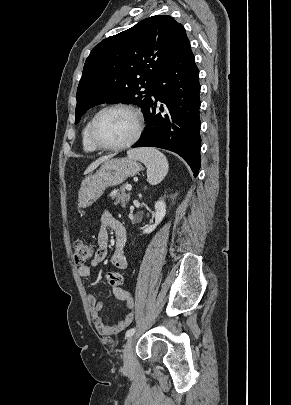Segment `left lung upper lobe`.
Returning a JSON list of instances; mask_svg holds the SVG:
<instances>
[{
	"mask_svg": "<svg viewBox=\"0 0 291 405\" xmlns=\"http://www.w3.org/2000/svg\"><path fill=\"white\" fill-rule=\"evenodd\" d=\"M185 38L182 24L156 15L97 44L77 88L75 124L89 108L107 102L137 104L144 113L153 84Z\"/></svg>",
	"mask_w": 291,
	"mask_h": 405,
	"instance_id": "obj_1",
	"label": "left lung upper lobe"
}]
</instances>
